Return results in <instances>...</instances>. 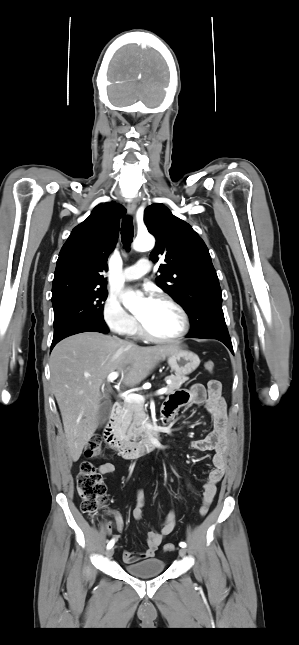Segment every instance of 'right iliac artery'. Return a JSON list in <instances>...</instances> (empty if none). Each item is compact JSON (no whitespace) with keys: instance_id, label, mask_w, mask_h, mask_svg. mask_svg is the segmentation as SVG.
I'll list each match as a JSON object with an SVG mask.
<instances>
[{"instance_id":"right-iliac-artery-1","label":"right iliac artery","mask_w":299,"mask_h":645,"mask_svg":"<svg viewBox=\"0 0 299 645\" xmlns=\"http://www.w3.org/2000/svg\"><path fill=\"white\" fill-rule=\"evenodd\" d=\"M113 545H114V540L112 539V540L108 543L107 548H108V549H110V548H112V547H113Z\"/></svg>"}]
</instances>
